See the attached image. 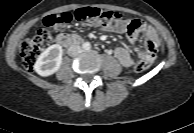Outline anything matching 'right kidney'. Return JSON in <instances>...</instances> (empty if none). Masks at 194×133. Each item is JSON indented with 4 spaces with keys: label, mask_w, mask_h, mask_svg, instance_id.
<instances>
[{
    "label": "right kidney",
    "mask_w": 194,
    "mask_h": 133,
    "mask_svg": "<svg viewBox=\"0 0 194 133\" xmlns=\"http://www.w3.org/2000/svg\"><path fill=\"white\" fill-rule=\"evenodd\" d=\"M63 49L54 44L48 47L37 59L34 70L43 77L50 76L58 71L62 63Z\"/></svg>",
    "instance_id": "1"
}]
</instances>
